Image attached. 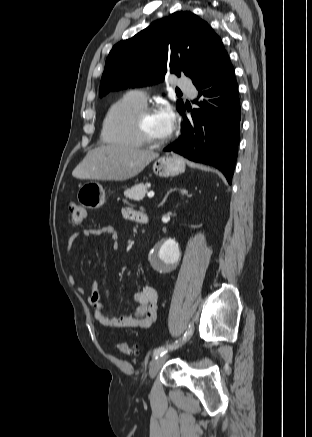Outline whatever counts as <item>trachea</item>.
I'll list each match as a JSON object with an SVG mask.
<instances>
[{
  "instance_id": "3493384b",
  "label": "trachea",
  "mask_w": 312,
  "mask_h": 437,
  "mask_svg": "<svg viewBox=\"0 0 312 437\" xmlns=\"http://www.w3.org/2000/svg\"><path fill=\"white\" fill-rule=\"evenodd\" d=\"M176 93L177 94H182V92L180 90H177Z\"/></svg>"
}]
</instances>
